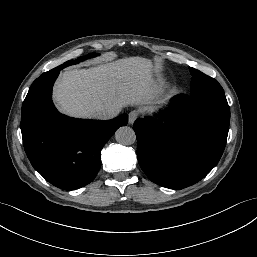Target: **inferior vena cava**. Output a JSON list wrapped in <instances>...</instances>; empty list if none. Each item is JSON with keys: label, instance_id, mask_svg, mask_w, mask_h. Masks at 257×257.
<instances>
[{"label": "inferior vena cava", "instance_id": "obj_1", "mask_svg": "<svg viewBox=\"0 0 257 257\" xmlns=\"http://www.w3.org/2000/svg\"><path fill=\"white\" fill-rule=\"evenodd\" d=\"M120 112L119 108H99L94 111L93 118L99 120H108L116 117Z\"/></svg>", "mask_w": 257, "mask_h": 257}]
</instances>
